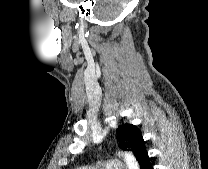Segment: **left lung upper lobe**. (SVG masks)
I'll return each instance as SVG.
<instances>
[{
	"mask_svg": "<svg viewBox=\"0 0 208 169\" xmlns=\"http://www.w3.org/2000/svg\"><path fill=\"white\" fill-rule=\"evenodd\" d=\"M117 139L119 140V147L132 151L137 160L141 153L146 150L142 134L133 124L125 123L119 126Z\"/></svg>",
	"mask_w": 208,
	"mask_h": 169,
	"instance_id": "obj_1",
	"label": "left lung upper lobe"
}]
</instances>
